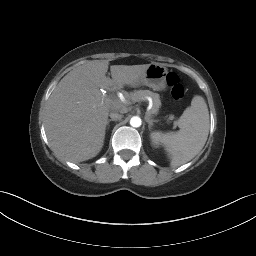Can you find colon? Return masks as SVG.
<instances>
[{
  "label": "colon",
  "mask_w": 256,
  "mask_h": 256,
  "mask_svg": "<svg viewBox=\"0 0 256 256\" xmlns=\"http://www.w3.org/2000/svg\"><path fill=\"white\" fill-rule=\"evenodd\" d=\"M167 85L170 88L171 95L175 100H180L184 96V87L176 73H169L166 77Z\"/></svg>",
  "instance_id": "1"
}]
</instances>
